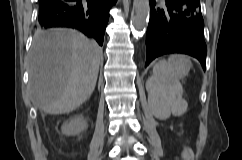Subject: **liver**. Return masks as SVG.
<instances>
[{"instance_id": "liver-1", "label": "liver", "mask_w": 242, "mask_h": 160, "mask_svg": "<svg viewBox=\"0 0 242 160\" xmlns=\"http://www.w3.org/2000/svg\"><path fill=\"white\" fill-rule=\"evenodd\" d=\"M102 48L71 29L37 33L29 53V95L45 113H70L93 93Z\"/></svg>"}]
</instances>
